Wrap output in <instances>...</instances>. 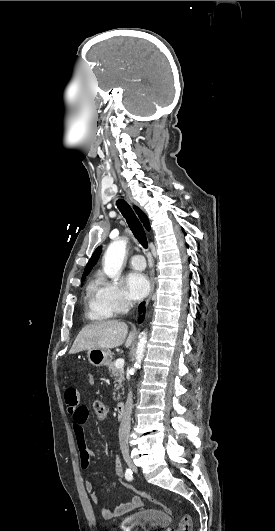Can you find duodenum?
<instances>
[{
	"mask_svg": "<svg viewBox=\"0 0 275 531\" xmlns=\"http://www.w3.org/2000/svg\"><path fill=\"white\" fill-rule=\"evenodd\" d=\"M126 404L125 402H120L116 406L117 414L119 418H122L125 414Z\"/></svg>",
	"mask_w": 275,
	"mask_h": 531,
	"instance_id": "410a0bca",
	"label": "duodenum"
}]
</instances>
